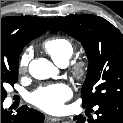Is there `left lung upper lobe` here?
<instances>
[{"label": "left lung upper lobe", "instance_id": "obj_1", "mask_svg": "<svg viewBox=\"0 0 123 123\" xmlns=\"http://www.w3.org/2000/svg\"><path fill=\"white\" fill-rule=\"evenodd\" d=\"M59 30L81 42L88 73L81 97L83 107H94L107 98H123V35L110 22L94 15L59 19L50 32Z\"/></svg>", "mask_w": 123, "mask_h": 123}]
</instances>
